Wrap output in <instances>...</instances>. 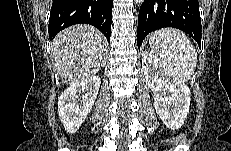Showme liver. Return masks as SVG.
I'll return each instance as SVG.
<instances>
[{"instance_id":"1","label":"liver","mask_w":231,"mask_h":151,"mask_svg":"<svg viewBox=\"0 0 231 151\" xmlns=\"http://www.w3.org/2000/svg\"><path fill=\"white\" fill-rule=\"evenodd\" d=\"M106 39L95 27L76 25L61 31L52 42L54 70L72 85L94 76L100 69Z\"/></svg>"}]
</instances>
